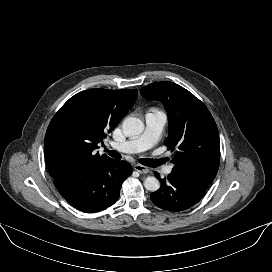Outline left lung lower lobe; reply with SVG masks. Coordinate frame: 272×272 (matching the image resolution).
I'll return each instance as SVG.
<instances>
[{
  "instance_id": "obj_1",
  "label": "left lung lower lobe",
  "mask_w": 272,
  "mask_h": 272,
  "mask_svg": "<svg viewBox=\"0 0 272 272\" xmlns=\"http://www.w3.org/2000/svg\"><path fill=\"white\" fill-rule=\"evenodd\" d=\"M154 174L160 180L161 188L151 194V200L159 208L168 211L189 209L201 200L210 185L177 171H172L164 179L160 178L159 173Z\"/></svg>"
}]
</instances>
